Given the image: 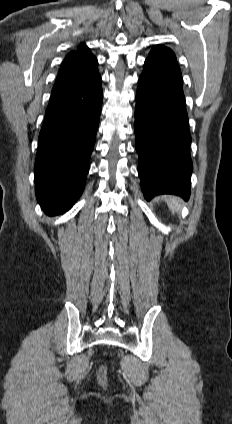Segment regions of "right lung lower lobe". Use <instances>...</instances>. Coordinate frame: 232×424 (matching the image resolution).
I'll list each match as a JSON object with an SVG mask.
<instances>
[{
	"label": "right lung lower lobe",
	"mask_w": 232,
	"mask_h": 424,
	"mask_svg": "<svg viewBox=\"0 0 232 424\" xmlns=\"http://www.w3.org/2000/svg\"><path fill=\"white\" fill-rule=\"evenodd\" d=\"M102 105L101 77L52 90L35 160V191L48 215L69 210L89 171Z\"/></svg>",
	"instance_id": "obj_1"
}]
</instances>
